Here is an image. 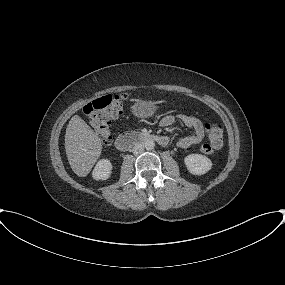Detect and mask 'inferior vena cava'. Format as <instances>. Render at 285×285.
Returning <instances> with one entry per match:
<instances>
[{
    "label": "inferior vena cava",
    "instance_id": "inferior-vena-cava-1",
    "mask_svg": "<svg viewBox=\"0 0 285 285\" xmlns=\"http://www.w3.org/2000/svg\"><path fill=\"white\" fill-rule=\"evenodd\" d=\"M144 151V145L142 143H136L132 148V153L138 155Z\"/></svg>",
    "mask_w": 285,
    "mask_h": 285
}]
</instances>
